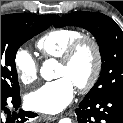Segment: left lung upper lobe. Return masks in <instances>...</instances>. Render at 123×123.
I'll return each mask as SVG.
<instances>
[{"label": "left lung upper lobe", "mask_w": 123, "mask_h": 123, "mask_svg": "<svg viewBox=\"0 0 123 123\" xmlns=\"http://www.w3.org/2000/svg\"><path fill=\"white\" fill-rule=\"evenodd\" d=\"M75 25L91 32L97 40L102 59L100 78L87 98L123 92V31L108 16L77 11L61 17L55 27Z\"/></svg>", "instance_id": "obj_1"}]
</instances>
